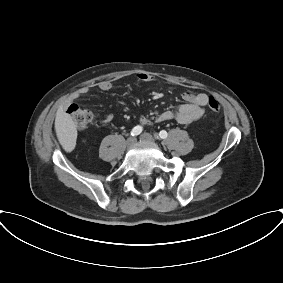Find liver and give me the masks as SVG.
Listing matches in <instances>:
<instances>
[{
  "instance_id": "liver-1",
  "label": "liver",
  "mask_w": 283,
  "mask_h": 283,
  "mask_svg": "<svg viewBox=\"0 0 283 283\" xmlns=\"http://www.w3.org/2000/svg\"><path fill=\"white\" fill-rule=\"evenodd\" d=\"M55 130L60 144L66 152H71L76 145L77 130L71 116L61 106L56 112Z\"/></svg>"
}]
</instances>
